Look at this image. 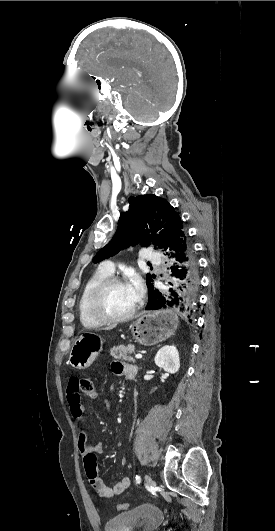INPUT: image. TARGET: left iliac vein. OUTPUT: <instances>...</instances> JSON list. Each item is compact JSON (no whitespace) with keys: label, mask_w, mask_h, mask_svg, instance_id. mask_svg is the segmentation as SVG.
<instances>
[{"label":"left iliac vein","mask_w":275,"mask_h":531,"mask_svg":"<svg viewBox=\"0 0 275 531\" xmlns=\"http://www.w3.org/2000/svg\"><path fill=\"white\" fill-rule=\"evenodd\" d=\"M145 481L148 486H156L155 481L148 475H145Z\"/></svg>","instance_id":"1"}]
</instances>
